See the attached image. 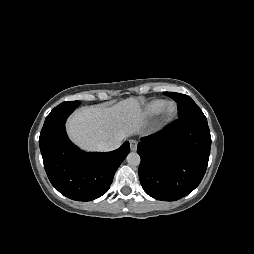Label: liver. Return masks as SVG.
Wrapping results in <instances>:
<instances>
[{"mask_svg": "<svg viewBox=\"0 0 254 254\" xmlns=\"http://www.w3.org/2000/svg\"><path fill=\"white\" fill-rule=\"evenodd\" d=\"M143 122L140 100L130 97L111 107L79 109L68 120L67 131L82 149L97 151L100 143L138 133Z\"/></svg>", "mask_w": 254, "mask_h": 254, "instance_id": "1", "label": "liver"}]
</instances>
